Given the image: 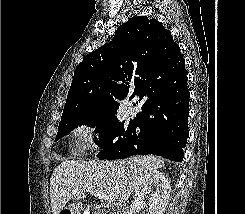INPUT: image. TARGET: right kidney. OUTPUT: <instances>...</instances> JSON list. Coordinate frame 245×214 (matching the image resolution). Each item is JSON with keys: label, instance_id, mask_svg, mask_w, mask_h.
I'll use <instances>...</instances> for the list:
<instances>
[{"label": "right kidney", "instance_id": "ca27d5eb", "mask_svg": "<svg viewBox=\"0 0 245 214\" xmlns=\"http://www.w3.org/2000/svg\"><path fill=\"white\" fill-rule=\"evenodd\" d=\"M171 186L169 180L158 170L146 173L135 189V199L129 214H137L139 205L147 199L149 214H163L168 204ZM149 196V198H148Z\"/></svg>", "mask_w": 245, "mask_h": 214}]
</instances>
